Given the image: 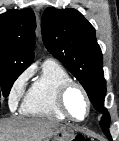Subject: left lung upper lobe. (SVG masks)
I'll use <instances>...</instances> for the list:
<instances>
[{
    "instance_id": "1",
    "label": "left lung upper lobe",
    "mask_w": 119,
    "mask_h": 141,
    "mask_svg": "<svg viewBox=\"0 0 119 141\" xmlns=\"http://www.w3.org/2000/svg\"><path fill=\"white\" fill-rule=\"evenodd\" d=\"M43 42L82 84L95 109L104 114L106 81L94 27L75 9L47 8L41 21Z\"/></svg>"
}]
</instances>
